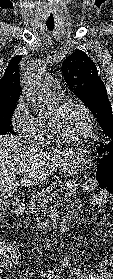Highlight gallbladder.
<instances>
[{
    "label": "gallbladder",
    "instance_id": "gallbladder-1",
    "mask_svg": "<svg viewBox=\"0 0 113 279\" xmlns=\"http://www.w3.org/2000/svg\"><path fill=\"white\" fill-rule=\"evenodd\" d=\"M4 210V205L2 204L0 207V212H2Z\"/></svg>",
    "mask_w": 113,
    "mask_h": 279
}]
</instances>
